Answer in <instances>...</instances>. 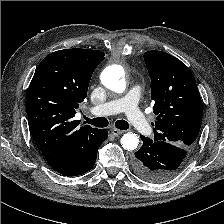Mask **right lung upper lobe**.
I'll list each match as a JSON object with an SVG mask.
<instances>
[{
    "label": "right lung upper lobe",
    "instance_id": "cb5924a9",
    "mask_svg": "<svg viewBox=\"0 0 224 224\" xmlns=\"http://www.w3.org/2000/svg\"><path fill=\"white\" fill-rule=\"evenodd\" d=\"M104 55L80 48L55 51L41 61L31 80L26 100L29 129L56 171L73 164L100 132L89 125L78 128L80 121L73 117Z\"/></svg>",
    "mask_w": 224,
    "mask_h": 224
}]
</instances>
